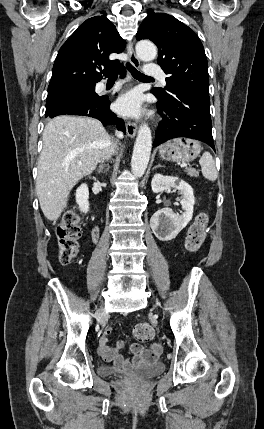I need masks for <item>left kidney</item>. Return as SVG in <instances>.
Segmentation results:
<instances>
[{"label":"left kidney","instance_id":"obj_1","mask_svg":"<svg viewBox=\"0 0 264 429\" xmlns=\"http://www.w3.org/2000/svg\"><path fill=\"white\" fill-rule=\"evenodd\" d=\"M151 188L154 193L173 188L174 191L178 190L182 195L180 201L182 209L184 210L182 215L173 212L169 208H163L155 212L150 219V227L159 240H172L192 219L193 207L195 204L193 188L178 177L164 176L162 174H155L153 176Z\"/></svg>","mask_w":264,"mask_h":429}]
</instances>
